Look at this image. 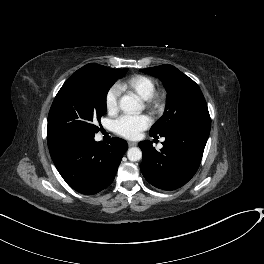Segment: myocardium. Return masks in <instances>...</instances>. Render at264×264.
I'll return each mask as SVG.
<instances>
[{
  "mask_svg": "<svg viewBox=\"0 0 264 264\" xmlns=\"http://www.w3.org/2000/svg\"><path fill=\"white\" fill-rule=\"evenodd\" d=\"M148 107L155 113L160 112L164 108L165 95L163 92L155 91L152 96L146 100Z\"/></svg>",
  "mask_w": 264,
  "mask_h": 264,
  "instance_id": "1",
  "label": "myocardium"
}]
</instances>
